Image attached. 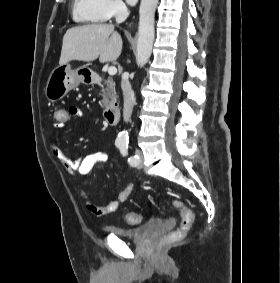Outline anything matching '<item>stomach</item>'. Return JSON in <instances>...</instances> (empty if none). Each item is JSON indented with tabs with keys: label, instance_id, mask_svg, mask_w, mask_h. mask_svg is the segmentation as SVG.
Returning a JSON list of instances; mask_svg holds the SVG:
<instances>
[{
	"label": "stomach",
	"instance_id": "stomach-1",
	"mask_svg": "<svg viewBox=\"0 0 280 283\" xmlns=\"http://www.w3.org/2000/svg\"><path fill=\"white\" fill-rule=\"evenodd\" d=\"M90 75L91 72L87 68L73 70L69 64L59 65L48 77L44 90L45 97L51 102L59 101L80 83H90Z\"/></svg>",
	"mask_w": 280,
	"mask_h": 283
}]
</instances>
